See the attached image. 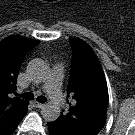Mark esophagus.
Segmentation results:
<instances>
[{
    "label": "esophagus",
    "instance_id": "1",
    "mask_svg": "<svg viewBox=\"0 0 135 135\" xmlns=\"http://www.w3.org/2000/svg\"><path fill=\"white\" fill-rule=\"evenodd\" d=\"M31 104H32L34 107H36V108H42V107H44V104H41V103H39V102H37V101H33Z\"/></svg>",
    "mask_w": 135,
    "mask_h": 135
}]
</instances>
